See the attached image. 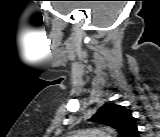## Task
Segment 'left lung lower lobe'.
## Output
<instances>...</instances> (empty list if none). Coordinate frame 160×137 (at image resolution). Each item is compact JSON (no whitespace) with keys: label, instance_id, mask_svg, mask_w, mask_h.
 I'll list each match as a JSON object with an SVG mask.
<instances>
[{"label":"left lung lower lobe","instance_id":"0a47b994","mask_svg":"<svg viewBox=\"0 0 160 137\" xmlns=\"http://www.w3.org/2000/svg\"><path fill=\"white\" fill-rule=\"evenodd\" d=\"M138 135H139V132H138V130H137V128H136V129H134V130L131 132V134L129 135V137H138Z\"/></svg>","mask_w":160,"mask_h":137}]
</instances>
